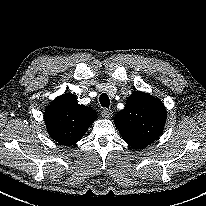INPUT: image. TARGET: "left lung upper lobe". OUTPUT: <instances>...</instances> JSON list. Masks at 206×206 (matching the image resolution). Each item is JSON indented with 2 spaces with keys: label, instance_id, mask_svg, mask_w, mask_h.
Listing matches in <instances>:
<instances>
[{
  "label": "left lung upper lobe",
  "instance_id": "left-lung-upper-lobe-1",
  "mask_svg": "<svg viewBox=\"0 0 206 206\" xmlns=\"http://www.w3.org/2000/svg\"><path fill=\"white\" fill-rule=\"evenodd\" d=\"M167 118L163 103L147 93L135 92L114 119L123 140L135 149L155 141L163 132Z\"/></svg>",
  "mask_w": 206,
  "mask_h": 206
}]
</instances>
